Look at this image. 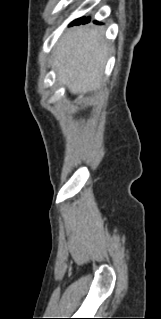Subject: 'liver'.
I'll use <instances>...</instances> for the list:
<instances>
[{
    "instance_id": "6515ba94",
    "label": "liver",
    "mask_w": 161,
    "mask_h": 319,
    "mask_svg": "<svg viewBox=\"0 0 161 319\" xmlns=\"http://www.w3.org/2000/svg\"><path fill=\"white\" fill-rule=\"evenodd\" d=\"M108 54L100 27H78L67 31L57 43L53 67L71 93H86L100 87Z\"/></svg>"
}]
</instances>
